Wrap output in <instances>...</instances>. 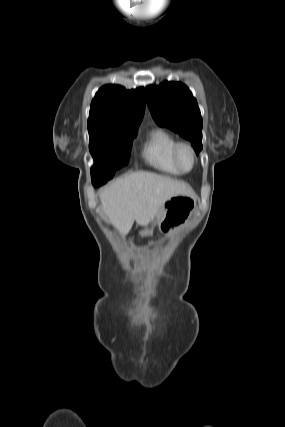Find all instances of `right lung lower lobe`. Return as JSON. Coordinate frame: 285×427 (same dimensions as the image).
I'll use <instances>...</instances> for the list:
<instances>
[{"mask_svg": "<svg viewBox=\"0 0 285 427\" xmlns=\"http://www.w3.org/2000/svg\"><path fill=\"white\" fill-rule=\"evenodd\" d=\"M93 185H94L95 187H98V186H100V185H102V184H99V183H93Z\"/></svg>", "mask_w": 285, "mask_h": 427, "instance_id": "1", "label": "right lung lower lobe"}]
</instances>
